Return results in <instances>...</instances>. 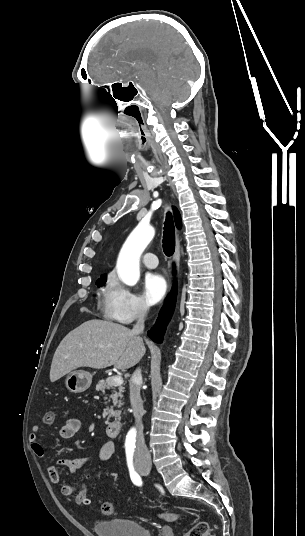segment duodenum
Segmentation results:
<instances>
[{
    "instance_id": "duodenum-1",
    "label": "duodenum",
    "mask_w": 305,
    "mask_h": 536,
    "mask_svg": "<svg viewBox=\"0 0 305 536\" xmlns=\"http://www.w3.org/2000/svg\"><path fill=\"white\" fill-rule=\"evenodd\" d=\"M122 431V425L118 421L110 422L105 427V432L107 435L115 437L118 436Z\"/></svg>"
}]
</instances>
